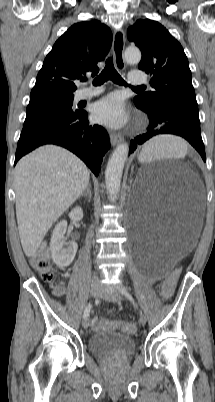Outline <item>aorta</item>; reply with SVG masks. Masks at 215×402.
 I'll use <instances>...</instances> for the list:
<instances>
[{"label": "aorta", "mask_w": 215, "mask_h": 402, "mask_svg": "<svg viewBox=\"0 0 215 402\" xmlns=\"http://www.w3.org/2000/svg\"><path fill=\"white\" fill-rule=\"evenodd\" d=\"M124 60L128 64H138L141 60V52L136 47H128L124 52ZM129 145L124 142L119 144L109 158L105 171V184L108 197L111 201H115L118 197L123 168L128 156Z\"/></svg>", "instance_id": "obj_1"}]
</instances>
